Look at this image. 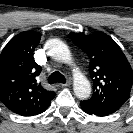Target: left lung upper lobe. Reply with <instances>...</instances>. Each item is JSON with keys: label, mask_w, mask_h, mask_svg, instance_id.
Returning a JSON list of instances; mask_svg holds the SVG:
<instances>
[{"label": "left lung upper lobe", "mask_w": 133, "mask_h": 133, "mask_svg": "<svg viewBox=\"0 0 133 133\" xmlns=\"http://www.w3.org/2000/svg\"><path fill=\"white\" fill-rule=\"evenodd\" d=\"M72 41L89 57L94 91L85 102L116 112L127 101L133 70L120 47L103 32L90 35L70 33Z\"/></svg>", "instance_id": "5c2ea615"}]
</instances>
